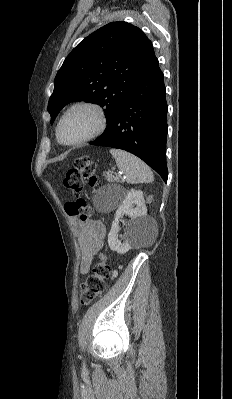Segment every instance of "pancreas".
I'll list each match as a JSON object with an SVG mask.
<instances>
[{
  "label": "pancreas",
  "mask_w": 232,
  "mask_h": 399,
  "mask_svg": "<svg viewBox=\"0 0 232 399\" xmlns=\"http://www.w3.org/2000/svg\"><path fill=\"white\" fill-rule=\"evenodd\" d=\"M107 182H114L113 180V176L112 174H109V172H107V176H105Z\"/></svg>",
  "instance_id": "obj_1"
}]
</instances>
